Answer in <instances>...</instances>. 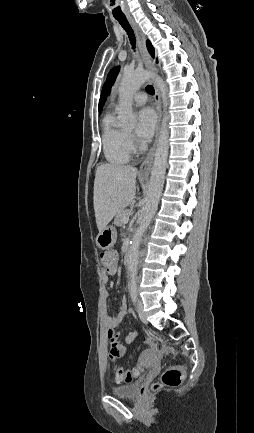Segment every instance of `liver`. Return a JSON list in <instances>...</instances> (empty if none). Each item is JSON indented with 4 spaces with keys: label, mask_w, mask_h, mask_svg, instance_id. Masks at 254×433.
Wrapping results in <instances>:
<instances>
[{
    "label": "liver",
    "mask_w": 254,
    "mask_h": 433,
    "mask_svg": "<svg viewBox=\"0 0 254 433\" xmlns=\"http://www.w3.org/2000/svg\"><path fill=\"white\" fill-rule=\"evenodd\" d=\"M137 173L135 167L127 165L104 163L97 167L93 204L99 232L133 201Z\"/></svg>",
    "instance_id": "6515ba94"
}]
</instances>
